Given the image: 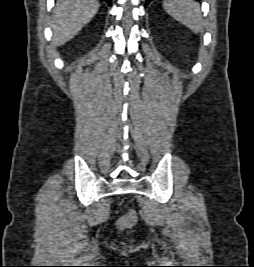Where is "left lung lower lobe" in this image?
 <instances>
[{"mask_svg":"<svg viewBox=\"0 0 254 267\" xmlns=\"http://www.w3.org/2000/svg\"><path fill=\"white\" fill-rule=\"evenodd\" d=\"M152 0H146L145 6H147Z\"/></svg>","mask_w":254,"mask_h":267,"instance_id":"1","label":"left lung lower lobe"}]
</instances>
